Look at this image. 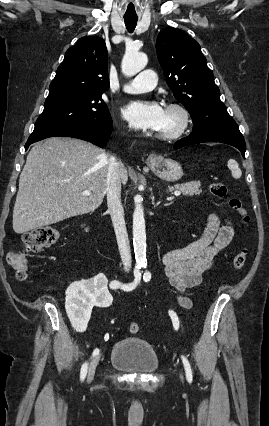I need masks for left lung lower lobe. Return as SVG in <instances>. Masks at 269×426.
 <instances>
[{
	"label": "left lung lower lobe",
	"instance_id": "left-lung-lower-lobe-1",
	"mask_svg": "<svg viewBox=\"0 0 269 426\" xmlns=\"http://www.w3.org/2000/svg\"><path fill=\"white\" fill-rule=\"evenodd\" d=\"M193 123L192 133L178 140L174 145L175 150L197 143L220 142L238 148L245 158L246 144L244 137L227 111L210 112L205 119Z\"/></svg>",
	"mask_w": 269,
	"mask_h": 426
}]
</instances>
